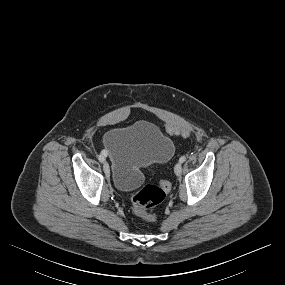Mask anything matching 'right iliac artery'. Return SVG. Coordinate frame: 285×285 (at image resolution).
I'll list each match as a JSON object with an SVG mask.
<instances>
[{
	"mask_svg": "<svg viewBox=\"0 0 285 285\" xmlns=\"http://www.w3.org/2000/svg\"><path fill=\"white\" fill-rule=\"evenodd\" d=\"M105 152L104 151H102L101 153H100V155L98 156V160L102 163V162H104L105 161Z\"/></svg>",
	"mask_w": 285,
	"mask_h": 285,
	"instance_id": "right-iliac-artery-1",
	"label": "right iliac artery"
}]
</instances>
